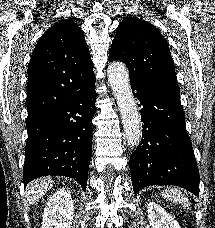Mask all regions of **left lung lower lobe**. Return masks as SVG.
<instances>
[{
    "instance_id": "obj_1",
    "label": "left lung lower lobe",
    "mask_w": 215,
    "mask_h": 228,
    "mask_svg": "<svg viewBox=\"0 0 215 228\" xmlns=\"http://www.w3.org/2000/svg\"><path fill=\"white\" fill-rule=\"evenodd\" d=\"M140 101L142 141L130 157L135 195L149 185H176L198 196L199 171L177 84L131 81Z\"/></svg>"
}]
</instances>
